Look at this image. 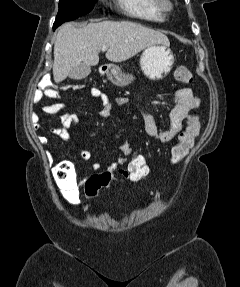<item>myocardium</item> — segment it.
I'll return each mask as SVG.
<instances>
[{"label":"myocardium","instance_id":"1","mask_svg":"<svg viewBox=\"0 0 240 287\" xmlns=\"http://www.w3.org/2000/svg\"><path fill=\"white\" fill-rule=\"evenodd\" d=\"M157 7L162 13H170L173 10V3L170 0H156Z\"/></svg>","mask_w":240,"mask_h":287}]
</instances>
